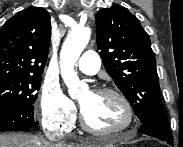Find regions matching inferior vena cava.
I'll use <instances>...</instances> for the list:
<instances>
[{"label":"inferior vena cava","instance_id":"obj_1","mask_svg":"<svg viewBox=\"0 0 183 147\" xmlns=\"http://www.w3.org/2000/svg\"><path fill=\"white\" fill-rule=\"evenodd\" d=\"M63 134L58 133V132H54V133H46V137L55 143H62L61 139H62Z\"/></svg>","mask_w":183,"mask_h":147}]
</instances>
